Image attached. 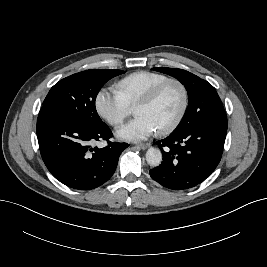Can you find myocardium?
<instances>
[{
	"instance_id": "obj_1",
	"label": "myocardium",
	"mask_w": 267,
	"mask_h": 267,
	"mask_svg": "<svg viewBox=\"0 0 267 267\" xmlns=\"http://www.w3.org/2000/svg\"><path fill=\"white\" fill-rule=\"evenodd\" d=\"M169 84H176L180 88L182 93V106L176 119L169 126L157 131L159 135H168L174 132L182 123L189 106V94L185 84L178 79L168 78L154 86L136 105L137 108L138 106L152 104L157 99L162 90Z\"/></svg>"
}]
</instances>
